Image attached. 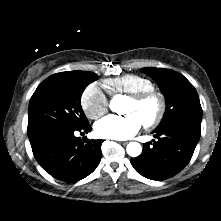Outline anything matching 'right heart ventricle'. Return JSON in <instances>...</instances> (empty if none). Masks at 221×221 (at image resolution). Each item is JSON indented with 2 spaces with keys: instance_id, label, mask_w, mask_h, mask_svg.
I'll use <instances>...</instances> for the list:
<instances>
[{
  "instance_id": "obj_1",
  "label": "right heart ventricle",
  "mask_w": 221,
  "mask_h": 221,
  "mask_svg": "<svg viewBox=\"0 0 221 221\" xmlns=\"http://www.w3.org/2000/svg\"><path fill=\"white\" fill-rule=\"evenodd\" d=\"M104 86L112 95H132L154 88L151 80L137 74H125L117 78L107 79L104 81Z\"/></svg>"
}]
</instances>
